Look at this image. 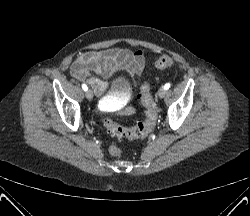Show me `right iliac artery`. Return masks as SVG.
<instances>
[{
  "label": "right iliac artery",
  "instance_id": "obj_1",
  "mask_svg": "<svg viewBox=\"0 0 250 216\" xmlns=\"http://www.w3.org/2000/svg\"><path fill=\"white\" fill-rule=\"evenodd\" d=\"M82 89H83L84 91H87V90H88L87 85H86V84H82Z\"/></svg>",
  "mask_w": 250,
  "mask_h": 216
}]
</instances>
